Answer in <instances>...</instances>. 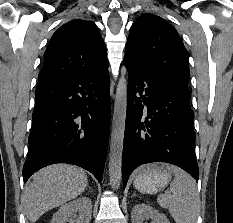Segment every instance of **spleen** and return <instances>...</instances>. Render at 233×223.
Wrapping results in <instances>:
<instances>
[{
	"label": "spleen",
	"mask_w": 233,
	"mask_h": 223,
	"mask_svg": "<svg viewBox=\"0 0 233 223\" xmlns=\"http://www.w3.org/2000/svg\"><path fill=\"white\" fill-rule=\"evenodd\" d=\"M175 175L170 183L172 193H160L157 201L161 207L169 209L176 223H195L200 211V197L196 183L186 171L173 165Z\"/></svg>",
	"instance_id": "1"
}]
</instances>
